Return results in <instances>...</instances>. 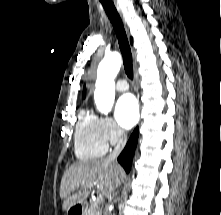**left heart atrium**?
I'll use <instances>...</instances> for the list:
<instances>
[{
	"instance_id": "1",
	"label": "left heart atrium",
	"mask_w": 221,
	"mask_h": 215,
	"mask_svg": "<svg viewBox=\"0 0 221 215\" xmlns=\"http://www.w3.org/2000/svg\"><path fill=\"white\" fill-rule=\"evenodd\" d=\"M139 110L135 98L126 94L119 98L115 107V118L118 124L125 128H132L138 121Z\"/></svg>"
}]
</instances>
